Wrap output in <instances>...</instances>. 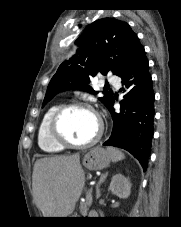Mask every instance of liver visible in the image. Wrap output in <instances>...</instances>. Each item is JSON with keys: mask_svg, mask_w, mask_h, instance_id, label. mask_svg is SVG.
<instances>
[{"mask_svg": "<svg viewBox=\"0 0 181 227\" xmlns=\"http://www.w3.org/2000/svg\"><path fill=\"white\" fill-rule=\"evenodd\" d=\"M84 184L79 154L42 158L34 164L33 195L44 217L71 215Z\"/></svg>", "mask_w": 181, "mask_h": 227, "instance_id": "6515ba94", "label": "liver"}]
</instances>
